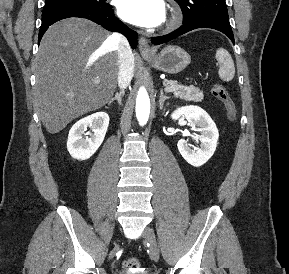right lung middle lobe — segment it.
Here are the masks:
<instances>
[{
	"label": "right lung middle lobe",
	"mask_w": 289,
	"mask_h": 274,
	"mask_svg": "<svg viewBox=\"0 0 289 274\" xmlns=\"http://www.w3.org/2000/svg\"><path fill=\"white\" fill-rule=\"evenodd\" d=\"M62 5H83L90 7H102L105 3H102L101 0H45L44 9L62 6Z\"/></svg>",
	"instance_id": "obj_1"
}]
</instances>
